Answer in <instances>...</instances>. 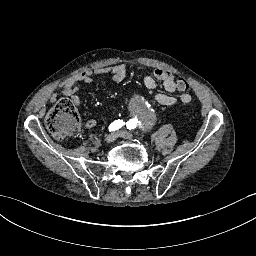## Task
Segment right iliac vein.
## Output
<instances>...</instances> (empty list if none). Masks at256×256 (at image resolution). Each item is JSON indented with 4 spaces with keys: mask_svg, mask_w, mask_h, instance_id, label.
<instances>
[{
    "mask_svg": "<svg viewBox=\"0 0 256 256\" xmlns=\"http://www.w3.org/2000/svg\"><path fill=\"white\" fill-rule=\"evenodd\" d=\"M116 138H117V135L115 133H110L106 136L105 142L110 144V143L114 142L116 140Z\"/></svg>",
    "mask_w": 256,
    "mask_h": 256,
    "instance_id": "right-iliac-vein-1",
    "label": "right iliac vein"
}]
</instances>
